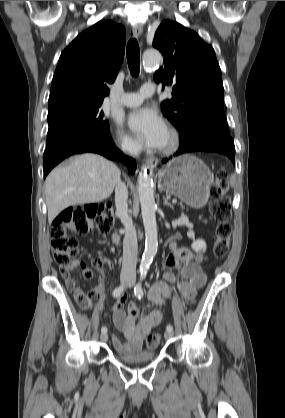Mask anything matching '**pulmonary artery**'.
Here are the masks:
<instances>
[{
  "label": "pulmonary artery",
  "mask_w": 285,
  "mask_h": 418,
  "mask_svg": "<svg viewBox=\"0 0 285 418\" xmlns=\"http://www.w3.org/2000/svg\"><path fill=\"white\" fill-rule=\"evenodd\" d=\"M155 91L156 89L153 84L145 83L141 86L140 93H126L120 98L119 103L126 107L137 106L145 98L152 97Z\"/></svg>",
  "instance_id": "pulmonary-artery-1"
}]
</instances>
